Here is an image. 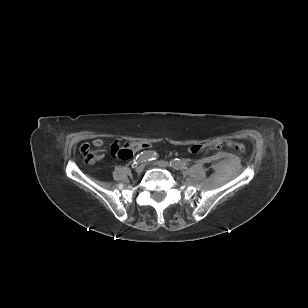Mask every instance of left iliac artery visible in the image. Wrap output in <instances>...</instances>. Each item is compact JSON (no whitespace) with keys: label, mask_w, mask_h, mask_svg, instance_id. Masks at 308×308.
Instances as JSON below:
<instances>
[{"label":"left iliac artery","mask_w":308,"mask_h":308,"mask_svg":"<svg viewBox=\"0 0 308 308\" xmlns=\"http://www.w3.org/2000/svg\"><path fill=\"white\" fill-rule=\"evenodd\" d=\"M170 165L172 167H174L175 169H177V170L178 169L181 170V169L187 168L188 163L186 161H184V160H180L178 158H175V159L170 161Z\"/></svg>","instance_id":"44dca946"}]
</instances>
